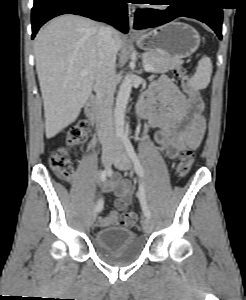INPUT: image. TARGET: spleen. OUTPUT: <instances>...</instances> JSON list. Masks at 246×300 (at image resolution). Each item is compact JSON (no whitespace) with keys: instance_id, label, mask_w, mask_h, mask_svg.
<instances>
[{"instance_id":"1","label":"spleen","mask_w":246,"mask_h":300,"mask_svg":"<svg viewBox=\"0 0 246 300\" xmlns=\"http://www.w3.org/2000/svg\"><path fill=\"white\" fill-rule=\"evenodd\" d=\"M211 75L212 62L209 57L203 56L198 61V67L190 79V85L198 90L205 89L210 83Z\"/></svg>"}]
</instances>
